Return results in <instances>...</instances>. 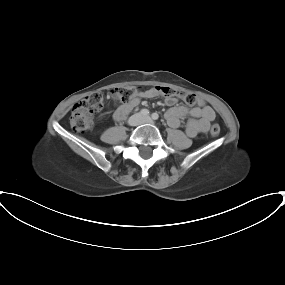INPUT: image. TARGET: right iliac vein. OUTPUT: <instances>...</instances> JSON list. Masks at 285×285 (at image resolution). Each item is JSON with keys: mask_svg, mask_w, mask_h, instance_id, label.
<instances>
[{"mask_svg": "<svg viewBox=\"0 0 285 285\" xmlns=\"http://www.w3.org/2000/svg\"><path fill=\"white\" fill-rule=\"evenodd\" d=\"M129 125L131 126H137L141 122V116L139 114H135L129 119Z\"/></svg>", "mask_w": 285, "mask_h": 285, "instance_id": "right-iliac-vein-1", "label": "right iliac vein"}]
</instances>
